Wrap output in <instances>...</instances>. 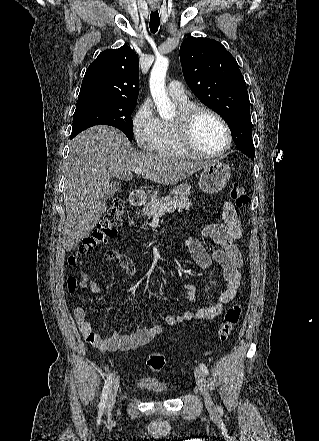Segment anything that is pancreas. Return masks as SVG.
<instances>
[{
	"label": "pancreas",
	"instance_id": "1",
	"mask_svg": "<svg viewBox=\"0 0 319 441\" xmlns=\"http://www.w3.org/2000/svg\"><path fill=\"white\" fill-rule=\"evenodd\" d=\"M188 195H183L180 198L170 196L163 197L161 199H154L149 203L144 204V208L140 215H144L147 217L155 216L157 213L163 215L167 212H174L178 209L179 212L183 210L188 211L192 206V203L188 199Z\"/></svg>",
	"mask_w": 319,
	"mask_h": 441
}]
</instances>
